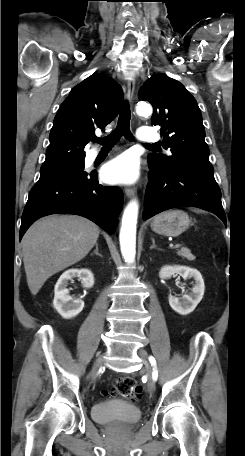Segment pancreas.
Wrapping results in <instances>:
<instances>
[{
  "mask_svg": "<svg viewBox=\"0 0 245 456\" xmlns=\"http://www.w3.org/2000/svg\"><path fill=\"white\" fill-rule=\"evenodd\" d=\"M177 254L183 258H186L190 261L195 259V256L192 255L191 251L185 247H182L180 250H178Z\"/></svg>",
  "mask_w": 245,
  "mask_h": 456,
  "instance_id": "cf45deb5",
  "label": "pancreas"
}]
</instances>
